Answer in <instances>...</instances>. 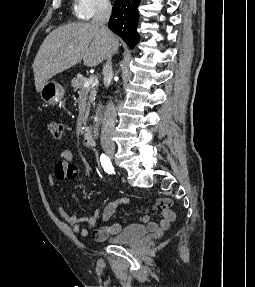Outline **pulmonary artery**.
Listing matches in <instances>:
<instances>
[{
    "instance_id": "obj_1",
    "label": "pulmonary artery",
    "mask_w": 255,
    "mask_h": 287,
    "mask_svg": "<svg viewBox=\"0 0 255 287\" xmlns=\"http://www.w3.org/2000/svg\"><path fill=\"white\" fill-rule=\"evenodd\" d=\"M121 33H131V32H121ZM126 39H129V38H126Z\"/></svg>"
}]
</instances>
